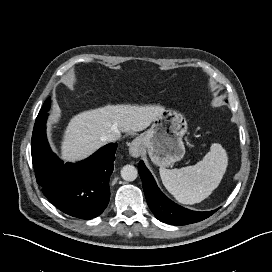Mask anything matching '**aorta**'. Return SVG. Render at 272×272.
Here are the masks:
<instances>
[{
	"label": "aorta",
	"instance_id": "1",
	"mask_svg": "<svg viewBox=\"0 0 272 272\" xmlns=\"http://www.w3.org/2000/svg\"><path fill=\"white\" fill-rule=\"evenodd\" d=\"M138 171L137 169L132 165H125L121 169V177L125 181H134L137 178Z\"/></svg>",
	"mask_w": 272,
	"mask_h": 272
}]
</instances>
